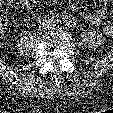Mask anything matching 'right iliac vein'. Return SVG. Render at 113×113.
<instances>
[{"label": "right iliac vein", "instance_id": "right-iliac-vein-1", "mask_svg": "<svg viewBox=\"0 0 113 113\" xmlns=\"http://www.w3.org/2000/svg\"><path fill=\"white\" fill-rule=\"evenodd\" d=\"M48 26H49V22H48V21H44V22L42 23V25H41V29H42V30H46V29L48 28Z\"/></svg>", "mask_w": 113, "mask_h": 113}]
</instances>
